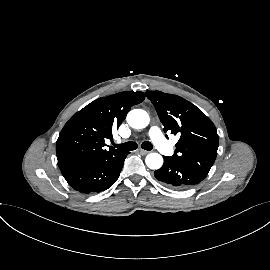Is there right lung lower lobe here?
<instances>
[{
  "label": "right lung lower lobe",
  "instance_id": "98d812e1",
  "mask_svg": "<svg viewBox=\"0 0 270 270\" xmlns=\"http://www.w3.org/2000/svg\"><path fill=\"white\" fill-rule=\"evenodd\" d=\"M128 154L129 152L121 151L61 172L74 190L85 194L98 193L116 182Z\"/></svg>",
  "mask_w": 270,
  "mask_h": 270
}]
</instances>
